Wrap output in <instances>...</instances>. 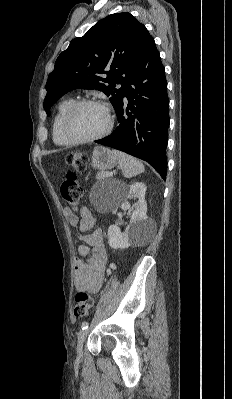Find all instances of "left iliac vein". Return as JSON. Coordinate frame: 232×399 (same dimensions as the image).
<instances>
[{
  "mask_svg": "<svg viewBox=\"0 0 232 399\" xmlns=\"http://www.w3.org/2000/svg\"><path fill=\"white\" fill-rule=\"evenodd\" d=\"M89 334L88 330H83L82 332H78L76 350L79 356L83 355V344L84 340H86L87 335Z\"/></svg>",
  "mask_w": 232,
  "mask_h": 399,
  "instance_id": "left-iliac-vein-1",
  "label": "left iliac vein"
}]
</instances>
